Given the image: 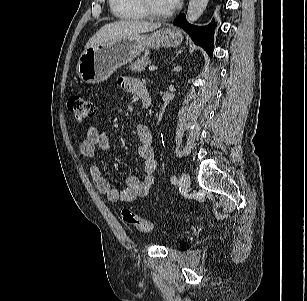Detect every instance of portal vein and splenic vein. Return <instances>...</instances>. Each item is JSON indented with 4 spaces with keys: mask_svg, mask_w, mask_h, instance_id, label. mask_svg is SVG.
Masks as SVG:
<instances>
[{
    "mask_svg": "<svg viewBox=\"0 0 307 301\" xmlns=\"http://www.w3.org/2000/svg\"><path fill=\"white\" fill-rule=\"evenodd\" d=\"M148 69H149L150 71H155V70H157V67L154 66V65H151V66L148 67Z\"/></svg>",
    "mask_w": 307,
    "mask_h": 301,
    "instance_id": "portal-vein-and-splenic-vein-1",
    "label": "portal vein and splenic vein"
}]
</instances>
